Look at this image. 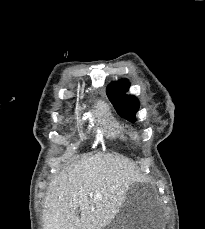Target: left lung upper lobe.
Returning <instances> with one entry per match:
<instances>
[{
	"label": "left lung upper lobe",
	"mask_w": 205,
	"mask_h": 229,
	"mask_svg": "<svg viewBox=\"0 0 205 229\" xmlns=\"http://www.w3.org/2000/svg\"><path fill=\"white\" fill-rule=\"evenodd\" d=\"M129 86L130 83L126 79L112 83L108 86L107 95L115 106L118 114L134 122V115L138 111L140 104L135 97L126 95Z\"/></svg>",
	"instance_id": "left-lung-upper-lobe-1"
}]
</instances>
